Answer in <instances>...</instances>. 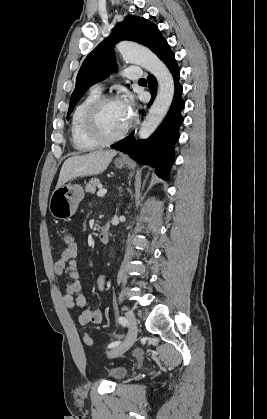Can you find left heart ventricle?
<instances>
[{"label": "left heart ventricle", "mask_w": 267, "mask_h": 419, "mask_svg": "<svg viewBox=\"0 0 267 419\" xmlns=\"http://www.w3.org/2000/svg\"><path fill=\"white\" fill-rule=\"evenodd\" d=\"M130 121V117L124 110L121 101L107 104L99 116V125L102 132L107 136H114Z\"/></svg>", "instance_id": "left-heart-ventricle-1"}]
</instances>
